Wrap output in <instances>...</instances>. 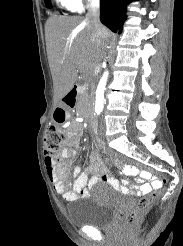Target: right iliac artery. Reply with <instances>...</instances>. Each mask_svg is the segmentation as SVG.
<instances>
[{"mask_svg":"<svg viewBox=\"0 0 183 246\" xmlns=\"http://www.w3.org/2000/svg\"><path fill=\"white\" fill-rule=\"evenodd\" d=\"M96 112H97V114H98V115L101 113V111H100V110H98V111H96Z\"/></svg>","mask_w":183,"mask_h":246,"instance_id":"1","label":"right iliac artery"}]
</instances>
